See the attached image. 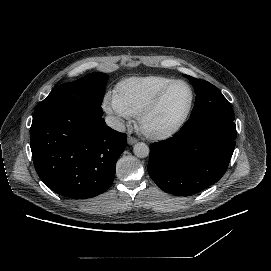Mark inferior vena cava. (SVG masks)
<instances>
[{
  "mask_svg": "<svg viewBox=\"0 0 271 271\" xmlns=\"http://www.w3.org/2000/svg\"><path fill=\"white\" fill-rule=\"evenodd\" d=\"M105 122L109 127H111L114 130H117L119 132L125 131L124 123L115 116H112V115L106 116Z\"/></svg>",
  "mask_w": 271,
  "mask_h": 271,
  "instance_id": "602c4592",
  "label": "inferior vena cava"
}]
</instances>
